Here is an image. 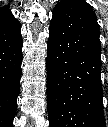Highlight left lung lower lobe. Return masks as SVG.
<instances>
[{"label":"left lung lower lobe","mask_w":108,"mask_h":127,"mask_svg":"<svg viewBox=\"0 0 108 127\" xmlns=\"http://www.w3.org/2000/svg\"><path fill=\"white\" fill-rule=\"evenodd\" d=\"M47 48L49 126L105 127L99 28L88 3H57Z\"/></svg>","instance_id":"left-lung-lower-lobe-1"}]
</instances>
